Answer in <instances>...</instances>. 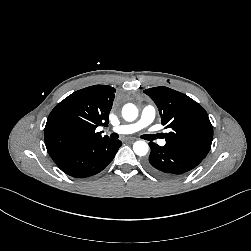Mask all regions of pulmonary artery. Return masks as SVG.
Returning <instances> with one entry per match:
<instances>
[{
	"label": "pulmonary artery",
	"instance_id": "pulmonary-artery-1",
	"mask_svg": "<svg viewBox=\"0 0 251 251\" xmlns=\"http://www.w3.org/2000/svg\"><path fill=\"white\" fill-rule=\"evenodd\" d=\"M155 116H156L155 108L151 105H147L142 109L140 117L137 121L133 123L116 126L112 128L111 131L118 134H131L142 129H147L154 121ZM160 144L164 145L165 141L161 140Z\"/></svg>",
	"mask_w": 251,
	"mask_h": 251
}]
</instances>
